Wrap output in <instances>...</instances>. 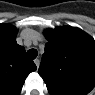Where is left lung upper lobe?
<instances>
[{
  "mask_svg": "<svg viewBox=\"0 0 95 95\" xmlns=\"http://www.w3.org/2000/svg\"><path fill=\"white\" fill-rule=\"evenodd\" d=\"M39 67L51 95H82L95 85V41L73 27L47 30Z\"/></svg>",
  "mask_w": 95,
  "mask_h": 95,
  "instance_id": "left-lung-upper-lobe-1",
  "label": "left lung upper lobe"
}]
</instances>
